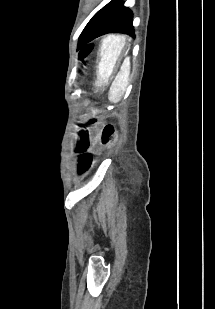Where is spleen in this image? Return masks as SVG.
<instances>
[{"label": "spleen", "mask_w": 215, "mask_h": 309, "mask_svg": "<svg viewBox=\"0 0 215 309\" xmlns=\"http://www.w3.org/2000/svg\"><path fill=\"white\" fill-rule=\"evenodd\" d=\"M113 84H119V86H121L122 92H120V94H118V96H114V98H113V102H118V100H120L121 94H123V92L125 90V82H124V80H122V68H121L119 74H117ZM113 84H112V86H113ZM112 86H111V88H112Z\"/></svg>", "instance_id": "3e777b00"}]
</instances>
